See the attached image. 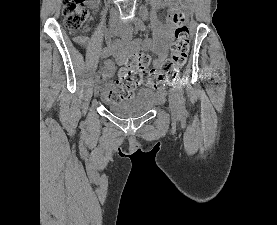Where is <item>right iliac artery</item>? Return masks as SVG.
Returning a JSON list of instances; mask_svg holds the SVG:
<instances>
[{
    "mask_svg": "<svg viewBox=\"0 0 277 225\" xmlns=\"http://www.w3.org/2000/svg\"><path fill=\"white\" fill-rule=\"evenodd\" d=\"M132 37H133L132 33H127L124 36H122V38L119 40V42L126 44L132 39ZM97 85H98V79L95 78L92 82V86L96 87Z\"/></svg>",
    "mask_w": 277,
    "mask_h": 225,
    "instance_id": "obj_1",
    "label": "right iliac artery"
}]
</instances>
